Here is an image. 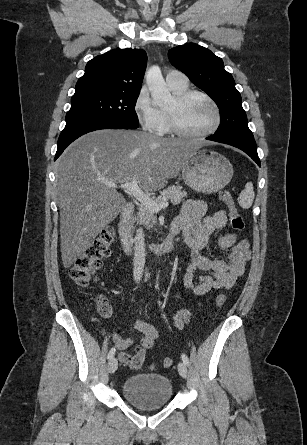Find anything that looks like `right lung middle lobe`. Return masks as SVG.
<instances>
[{
  "label": "right lung middle lobe",
  "instance_id": "dd1d6c3e",
  "mask_svg": "<svg viewBox=\"0 0 307 445\" xmlns=\"http://www.w3.org/2000/svg\"><path fill=\"white\" fill-rule=\"evenodd\" d=\"M139 94H89L71 98L66 124L82 120H112L131 128L138 127L135 104Z\"/></svg>",
  "mask_w": 307,
  "mask_h": 445
}]
</instances>
